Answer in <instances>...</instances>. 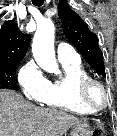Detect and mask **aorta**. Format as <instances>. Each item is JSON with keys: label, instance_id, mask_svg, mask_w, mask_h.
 <instances>
[{"label": "aorta", "instance_id": "1", "mask_svg": "<svg viewBox=\"0 0 117 136\" xmlns=\"http://www.w3.org/2000/svg\"><path fill=\"white\" fill-rule=\"evenodd\" d=\"M54 34V23L50 19L39 22L33 39L32 52L37 64L42 69L59 74L54 52Z\"/></svg>", "mask_w": 117, "mask_h": 136}]
</instances>
